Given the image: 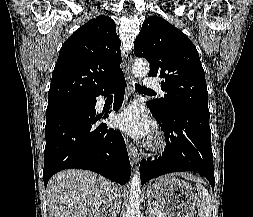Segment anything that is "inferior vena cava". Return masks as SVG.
I'll list each match as a JSON object with an SVG mask.
<instances>
[{
	"instance_id": "602c4592",
	"label": "inferior vena cava",
	"mask_w": 253,
	"mask_h": 217,
	"mask_svg": "<svg viewBox=\"0 0 253 217\" xmlns=\"http://www.w3.org/2000/svg\"><path fill=\"white\" fill-rule=\"evenodd\" d=\"M114 189V195H113V198L114 199H121L122 198V195L121 194H123V189H121V187H119V185H114V187H113ZM114 204V206H113V208H112V211H111V214L112 215H114L115 213H116V211H115V209H114V207H119V200H114V202H113Z\"/></svg>"
}]
</instances>
